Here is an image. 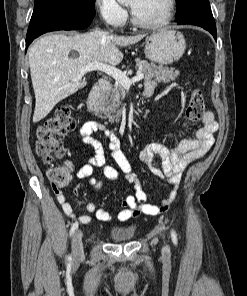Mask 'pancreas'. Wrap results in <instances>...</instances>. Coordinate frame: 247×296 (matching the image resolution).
<instances>
[{
  "instance_id": "pancreas-1",
  "label": "pancreas",
  "mask_w": 247,
  "mask_h": 296,
  "mask_svg": "<svg viewBox=\"0 0 247 296\" xmlns=\"http://www.w3.org/2000/svg\"><path fill=\"white\" fill-rule=\"evenodd\" d=\"M137 73H143L145 79H155L158 82L168 83L174 81L179 71L162 65L136 60ZM125 89L119 83H115L111 91L101 97L99 101V113L102 119H108L111 123L120 121L122 109L121 103L125 98Z\"/></svg>"
}]
</instances>
